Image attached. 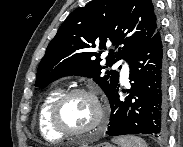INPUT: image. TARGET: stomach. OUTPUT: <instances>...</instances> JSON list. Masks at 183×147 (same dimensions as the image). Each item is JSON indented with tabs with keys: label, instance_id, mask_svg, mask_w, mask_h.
<instances>
[{
	"label": "stomach",
	"instance_id": "1",
	"mask_svg": "<svg viewBox=\"0 0 183 147\" xmlns=\"http://www.w3.org/2000/svg\"><path fill=\"white\" fill-rule=\"evenodd\" d=\"M94 147H114V146L107 142H104V143L97 144Z\"/></svg>",
	"mask_w": 183,
	"mask_h": 147
}]
</instances>
